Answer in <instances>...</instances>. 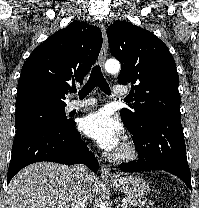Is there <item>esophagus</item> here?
<instances>
[{
    "mask_svg": "<svg viewBox=\"0 0 199 208\" xmlns=\"http://www.w3.org/2000/svg\"><path fill=\"white\" fill-rule=\"evenodd\" d=\"M100 29L102 32L103 44L99 56V64L103 67L107 57L108 41L104 24H100ZM100 173L102 178H115V175L111 172L110 168L104 163L101 164Z\"/></svg>",
    "mask_w": 199,
    "mask_h": 208,
    "instance_id": "1",
    "label": "esophagus"
}]
</instances>
